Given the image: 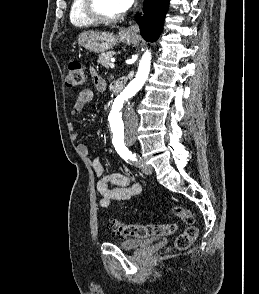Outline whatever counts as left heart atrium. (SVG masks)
<instances>
[{
	"label": "left heart atrium",
	"instance_id": "39dd6f15",
	"mask_svg": "<svg viewBox=\"0 0 259 294\" xmlns=\"http://www.w3.org/2000/svg\"><path fill=\"white\" fill-rule=\"evenodd\" d=\"M119 1H120V4L122 6L123 11L128 10L134 2V0H119Z\"/></svg>",
	"mask_w": 259,
	"mask_h": 294
}]
</instances>
